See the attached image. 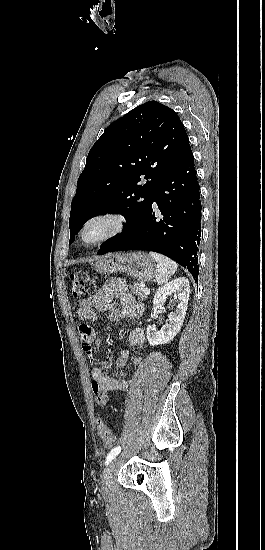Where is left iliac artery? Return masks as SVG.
I'll return each instance as SVG.
<instances>
[{
	"mask_svg": "<svg viewBox=\"0 0 265 550\" xmlns=\"http://www.w3.org/2000/svg\"><path fill=\"white\" fill-rule=\"evenodd\" d=\"M120 451H121L120 446H117V447L113 448L110 451V453L107 455L105 464L108 465L109 462H111L116 457V455H118L120 453Z\"/></svg>",
	"mask_w": 265,
	"mask_h": 550,
	"instance_id": "1",
	"label": "left iliac artery"
}]
</instances>
